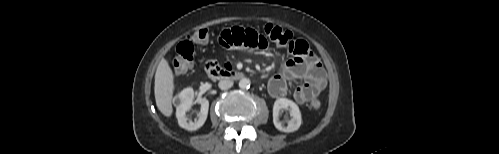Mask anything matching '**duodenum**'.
Instances as JSON below:
<instances>
[{
	"label": "duodenum",
	"mask_w": 499,
	"mask_h": 154,
	"mask_svg": "<svg viewBox=\"0 0 499 154\" xmlns=\"http://www.w3.org/2000/svg\"><path fill=\"white\" fill-rule=\"evenodd\" d=\"M209 75L213 79L241 80L244 78V74L241 71L236 70H224L221 72H217L213 69H210Z\"/></svg>",
	"instance_id": "410a0bca"
}]
</instances>
